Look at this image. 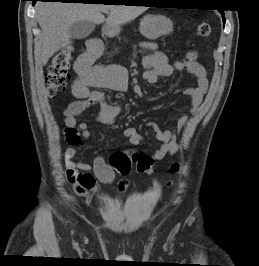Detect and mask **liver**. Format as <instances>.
I'll list each match as a JSON object with an SVG mask.
<instances>
[{
	"label": "liver",
	"instance_id": "obj_1",
	"mask_svg": "<svg viewBox=\"0 0 259 266\" xmlns=\"http://www.w3.org/2000/svg\"><path fill=\"white\" fill-rule=\"evenodd\" d=\"M35 9L42 30L39 58L43 65L55 52L71 43L69 29L74 23L100 24L105 21L107 29L120 28L147 10L145 6L62 2H38ZM105 11H110L106 19L102 15Z\"/></svg>",
	"mask_w": 259,
	"mask_h": 266
}]
</instances>
